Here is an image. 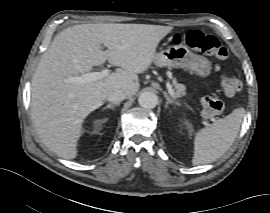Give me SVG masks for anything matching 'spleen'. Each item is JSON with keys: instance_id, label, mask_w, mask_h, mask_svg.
I'll list each match as a JSON object with an SVG mask.
<instances>
[{"instance_id": "spleen-1", "label": "spleen", "mask_w": 270, "mask_h": 213, "mask_svg": "<svg viewBox=\"0 0 270 213\" xmlns=\"http://www.w3.org/2000/svg\"><path fill=\"white\" fill-rule=\"evenodd\" d=\"M244 114L243 108H237L225 118L196 132L192 164H208L221 157L235 141Z\"/></svg>"}]
</instances>
